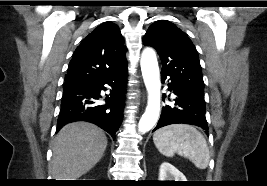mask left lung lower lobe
Segmentation results:
<instances>
[{
	"label": "left lung lower lobe",
	"instance_id": "left-lung-lower-lobe-1",
	"mask_svg": "<svg viewBox=\"0 0 267 186\" xmlns=\"http://www.w3.org/2000/svg\"><path fill=\"white\" fill-rule=\"evenodd\" d=\"M161 77L163 82L166 79L170 82L168 87L169 91L175 95V104L163 107L161 117L153 131L163 126L181 123L199 126L208 134V125L205 117L204 93L199 92L168 75L161 74Z\"/></svg>",
	"mask_w": 267,
	"mask_h": 186
}]
</instances>
